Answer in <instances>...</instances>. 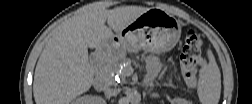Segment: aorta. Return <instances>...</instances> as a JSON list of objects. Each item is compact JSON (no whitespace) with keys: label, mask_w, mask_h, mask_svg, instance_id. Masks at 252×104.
Wrapping results in <instances>:
<instances>
[{"label":"aorta","mask_w":252,"mask_h":104,"mask_svg":"<svg viewBox=\"0 0 252 104\" xmlns=\"http://www.w3.org/2000/svg\"><path fill=\"white\" fill-rule=\"evenodd\" d=\"M127 99L131 104H139L141 101V94L137 91L130 92Z\"/></svg>","instance_id":"762f6f07"}]
</instances>
